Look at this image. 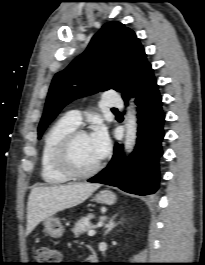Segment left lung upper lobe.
<instances>
[{"label": "left lung upper lobe", "mask_w": 205, "mask_h": 265, "mask_svg": "<svg viewBox=\"0 0 205 265\" xmlns=\"http://www.w3.org/2000/svg\"><path fill=\"white\" fill-rule=\"evenodd\" d=\"M150 66L143 46L131 29L116 21L106 23L85 52L54 76L38 127L39 138L72 100L110 88L126 96Z\"/></svg>", "instance_id": "1"}]
</instances>
